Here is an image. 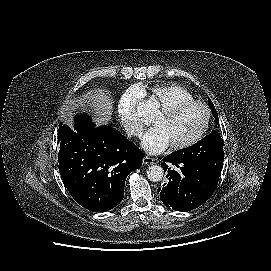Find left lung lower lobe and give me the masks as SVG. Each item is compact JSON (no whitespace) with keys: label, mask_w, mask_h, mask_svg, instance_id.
Segmentation results:
<instances>
[{"label":"left lung lower lobe","mask_w":271,"mask_h":271,"mask_svg":"<svg viewBox=\"0 0 271 271\" xmlns=\"http://www.w3.org/2000/svg\"><path fill=\"white\" fill-rule=\"evenodd\" d=\"M167 182L158 188L160 199L176 211L193 210L206 202L215 191L220 174L203 164L177 157L173 153L163 158ZM168 164L174 167L170 168Z\"/></svg>","instance_id":"1"}]
</instances>
